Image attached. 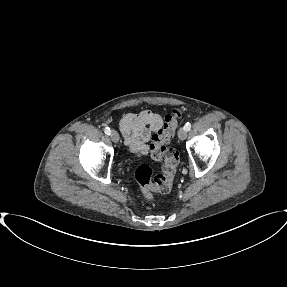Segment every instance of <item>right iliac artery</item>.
<instances>
[{"instance_id":"1","label":"right iliac artery","mask_w":287,"mask_h":287,"mask_svg":"<svg viewBox=\"0 0 287 287\" xmlns=\"http://www.w3.org/2000/svg\"><path fill=\"white\" fill-rule=\"evenodd\" d=\"M104 132H105V134H107V135H110V134H111V130H110L109 127H105V128H104Z\"/></svg>"}]
</instances>
